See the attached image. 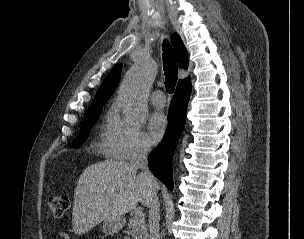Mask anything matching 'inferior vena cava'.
I'll return each mask as SVG.
<instances>
[{
  "label": "inferior vena cava",
  "instance_id": "602c4592",
  "mask_svg": "<svg viewBox=\"0 0 304 239\" xmlns=\"http://www.w3.org/2000/svg\"><path fill=\"white\" fill-rule=\"evenodd\" d=\"M149 147L146 144H139L135 147L131 159L130 165L134 168L142 169L140 176L144 178L145 182L151 189V198L149 202V231L150 239H160L159 234V200L157 197L156 186L157 181L154 176L151 174L148 168V155Z\"/></svg>",
  "mask_w": 304,
  "mask_h": 239
}]
</instances>
